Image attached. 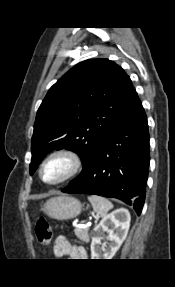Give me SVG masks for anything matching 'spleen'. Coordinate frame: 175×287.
I'll list each match as a JSON object with an SVG mask.
<instances>
[{
	"label": "spleen",
	"instance_id": "spleen-1",
	"mask_svg": "<svg viewBox=\"0 0 175 287\" xmlns=\"http://www.w3.org/2000/svg\"><path fill=\"white\" fill-rule=\"evenodd\" d=\"M88 200L91 202L93 210L100 216H105L113 208V204L102 196L91 195Z\"/></svg>",
	"mask_w": 175,
	"mask_h": 287
}]
</instances>
